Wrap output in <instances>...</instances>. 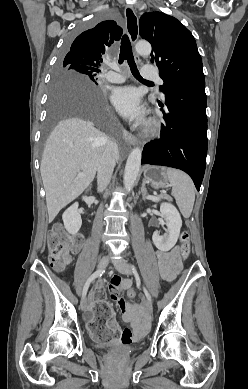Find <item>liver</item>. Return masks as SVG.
<instances>
[{
	"instance_id": "liver-1",
	"label": "liver",
	"mask_w": 248,
	"mask_h": 389,
	"mask_svg": "<svg viewBox=\"0 0 248 389\" xmlns=\"http://www.w3.org/2000/svg\"><path fill=\"white\" fill-rule=\"evenodd\" d=\"M108 141L109 137L82 118H68L53 129L40 166L49 222L94 180ZM80 172L85 176L79 177Z\"/></svg>"
}]
</instances>
